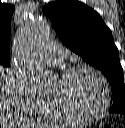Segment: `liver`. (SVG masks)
Returning a JSON list of instances; mask_svg holds the SVG:
<instances>
[{
  "instance_id": "liver-1",
  "label": "liver",
  "mask_w": 125,
  "mask_h": 128,
  "mask_svg": "<svg viewBox=\"0 0 125 128\" xmlns=\"http://www.w3.org/2000/svg\"><path fill=\"white\" fill-rule=\"evenodd\" d=\"M11 104L10 84L0 73V128H15L21 126L22 119L13 114ZM51 127L57 128V126Z\"/></svg>"
}]
</instances>
